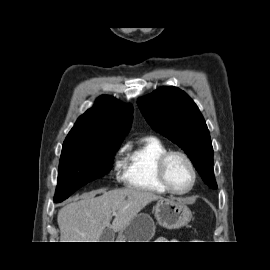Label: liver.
<instances>
[{"mask_svg":"<svg viewBox=\"0 0 270 270\" xmlns=\"http://www.w3.org/2000/svg\"><path fill=\"white\" fill-rule=\"evenodd\" d=\"M98 193L103 194L95 197ZM159 199H162L159 195L136 188L86 193L79 201L67 204L59 211L57 221L60 240L99 242L106 227L113 232H120L146 205Z\"/></svg>","mask_w":270,"mask_h":270,"instance_id":"obj_1","label":"liver"}]
</instances>
